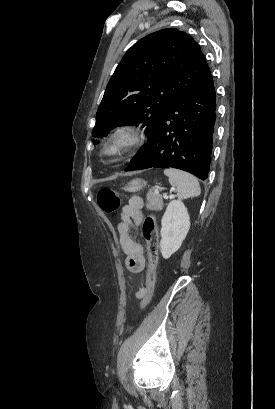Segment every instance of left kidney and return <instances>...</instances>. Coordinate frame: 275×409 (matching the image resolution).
Listing matches in <instances>:
<instances>
[{
  "label": "left kidney",
  "instance_id": "obj_1",
  "mask_svg": "<svg viewBox=\"0 0 275 409\" xmlns=\"http://www.w3.org/2000/svg\"><path fill=\"white\" fill-rule=\"evenodd\" d=\"M160 253L163 259H169L176 253L186 239L190 229V217L182 200H171L162 217Z\"/></svg>",
  "mask_w": 275,
  "mask_h": 409
}]
</instances>
